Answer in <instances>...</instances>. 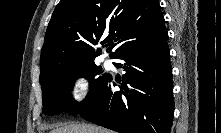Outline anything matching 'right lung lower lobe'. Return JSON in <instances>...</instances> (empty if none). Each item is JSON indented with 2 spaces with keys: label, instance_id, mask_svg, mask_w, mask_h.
<instances>
[{
  "label": "right lung lower lobe",
  "instance_id": "obj_1",
  "mask_svg": "<svg viewBox=\"0 0 221 133\" xmlns=\"http://www.w3.org/2000/svg\"><path fill=\"white\" fill-rule=\"evenodd\" d=\"M168 35L156 44L127 49L121 91L111 76L78 113L84 119L120 133H170L174 114Z\"/></svg>",
  "mask_w": 221,
  "mask_h": 133
}]
</instances>
